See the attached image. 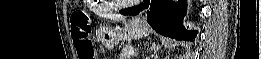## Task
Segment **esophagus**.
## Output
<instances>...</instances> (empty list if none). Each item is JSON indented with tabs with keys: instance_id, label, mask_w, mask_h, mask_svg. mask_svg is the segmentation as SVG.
Returning a JSON list of instances; mask_svg holds the SVG:
<instances>
[{
	"instance_id": "1",
	"label": "esophagus",
	"mask_w": 261,
	"mask_h": 59,
	"mask_svg": "<svg viewBox=\"0 0 261 59\" xmlns=\"http://www.w3.org/2000/svg\"><path fill=\"white\" fill-rule=\"evenodd\" d=\"M135 20L137 21V22H139V23H144V21H145V15L144 14H139L136 18H135Z\"/></svg>"
}]
</instances>
